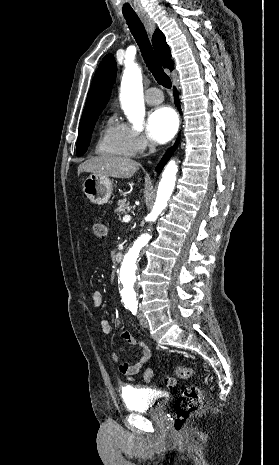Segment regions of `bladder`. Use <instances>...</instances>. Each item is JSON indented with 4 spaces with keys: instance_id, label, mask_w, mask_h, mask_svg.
I'll list each match as a JSON object with an SVG mask.
<instances>
[{
    "instance_id": "obj_1",
    "label": "bladder",
    "mask_w": 279,
    "mask_h": 465,
    "mask_svg": "<svg viewBox=\"0 0 279 465\" xmlns=\"http://www.w3.org/2000/svg\"><path fill=\"white\" fill-rule=\"evenodd\" d=\"M121 397L126 409L130 412H153L162 414L169 401V396L163 392L140 387L125 386L121 390Z\"/></svg>"
}]
</instances>
